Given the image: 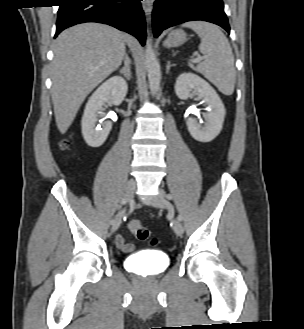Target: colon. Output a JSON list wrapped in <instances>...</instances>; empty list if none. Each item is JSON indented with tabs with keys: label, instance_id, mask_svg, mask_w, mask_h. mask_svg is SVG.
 Returning a JSON list of instances; mask_svg holds the SVG:
<instances>
[{
	"label": "colon",
	"instance_id": "colon-1",
	"mask_svg": "<svg viewBox=\"0 0 304 329\" xmlns=\"http://www.w3.org/2000/svg\"><path fill=\"white\" fill-rule=\"evenodd\" d=\"M68 145L69 141L65 139L61 141L60 149L66 150L68 148ZM128 229L140 241H146L149 239V231L138 220H131L128 223ZM151 243L156 244V240L152 239Z\"/></svg>",
	"mask_w": 304,
	"mask_h": 329
}]
</instances>
